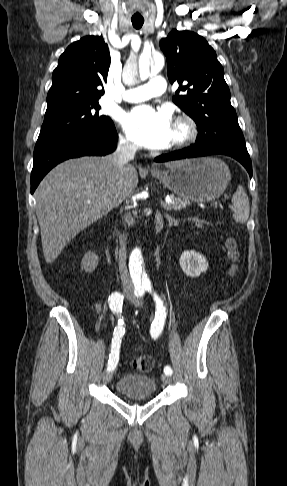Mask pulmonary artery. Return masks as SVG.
I'll return each instance as SVG.
<instances>
[{"label": "pulmonary artery", "instance_id": "1", "mask_svg": "<svg viewBox=\"0 0 287 486\" xmlns=\"http://www.w3.org/2000/svg\"><path fill=\"white\" fill-rule=\"evenodd\" d=\"M164 91V78L154 77L144 85L125 90L122 94V98L127 102H141L152 97L160 96Z\"/></svg>", "mask_w": 287, "mask_h": 486}]
</instances>
